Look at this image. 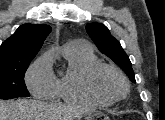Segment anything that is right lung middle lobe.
I'll return each instance as SVG.
<instances>
[{
  "label": "right lung middle lobe",
  "mask_w": 165,
  "mask_h": 120,
  "mask_svg": "<svg viewBox=\"0 0 165 120\" xmlns=\"http://www.w3.org/2000/svg\"><path fill=\"white\" fill-rule=\"evenodd\" d=\"M31 60L0 61V99L30 96L24 75Z\"/></svg>",
  "instance_id": "right-lung-middle-lobe-1"
}]
</instances>
